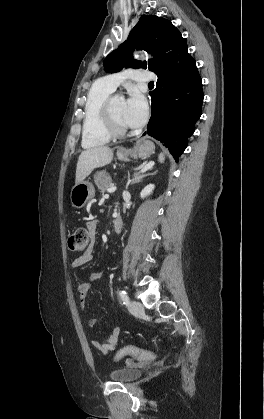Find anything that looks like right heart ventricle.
<instances>
[{
    "label": "right heart ventricle",
    "mask_w": 264,
    "mask_h": 419,
    "mask_svg": "<svg viewBox=\"0 0 264 419\" xmlns=\"http://www.w3.org/2000/svg\"><path fill=\"white\" fill-rule=\"evenodd\" d=\"M113 91L98 81L87 93L82 128V146L86 149L103 146L111 140L104 122L103 105Z\"/></svg>",
    "instance_id": "e07e8e85"
}]
</instances>
